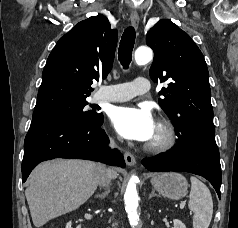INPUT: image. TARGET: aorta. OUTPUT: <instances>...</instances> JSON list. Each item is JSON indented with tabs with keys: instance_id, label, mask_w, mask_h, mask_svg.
<instances>
[{
	"instance_id": "1",
	"label": "aorta",
	"mask_w": 238,
	"mask_h": 228,
	"mask_svg": "<svg viewBox=\"0 0 238 228\" xmlns=\"http://www.w3.org/2000/svg\"><path fill=\"white\" fill-rule=\"evenodd\" d=\"M134 57L138 65H145L152 60L153 52L149 47H139L135 51ZM138 180L137 176H131L124 194L125 209L128 214L130 225L133 226V228L139 223V215L137 213L139 198L136 189Z\"/></svg>"
}]
</instances>
